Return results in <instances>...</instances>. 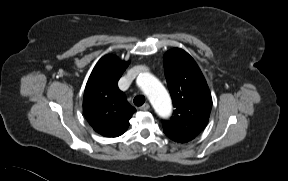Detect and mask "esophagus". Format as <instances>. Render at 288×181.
I'll use <instances>...</instances> for the list:
<instances>
[{"mask_svg":"<svg viewBox=\"0 0 288 181\" xmlns=\"http://www.w3.org/2000/svg\"><path fill=\"white\" fill-rule=\"evenodd\" d=\"M149 108H150V105H149L148 103H145L144 105H142V106L140 107V110L146 111V110H148Z\"/></svg>","mask_w":288,"mask_h":181,"instance_id":"1","label":"esophagus"}]
</instances>
